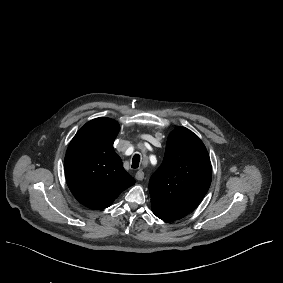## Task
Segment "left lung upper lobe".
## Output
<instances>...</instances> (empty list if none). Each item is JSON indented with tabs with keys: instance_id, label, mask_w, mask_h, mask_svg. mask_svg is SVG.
<instances>
[{
	"instance_id": "1",
	"label": "left lung upper lobe",
	"mask_w": 283,
	"mask_h": 283,
	"mask_svg": "<svg viewBox=\"0 0 283 283\" xmlns=\"http://www.w3.org/2000/svg\"><path fill=\"white\" fill-rule=\"evenodd\" d=\"M211 177L203 142L187 128L177 127L168 136L163 162L149 181L152 208L188 214L204 198Z\"/></svg>"
}]
</instances>
